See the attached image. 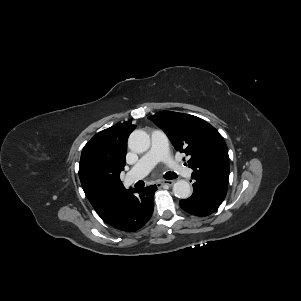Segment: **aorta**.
Wrapping results in <instances>:
<instances>
[{
    "label": "aorta",
    "instance_id": "aorta-1",
    "mask_svg": "<svg viewBox=\"0 0 301 301\" xmlns=\"http://www.w3.org/2000/svg\"><path fill=\"white\" fill-rule=\"evenodd\" d=\"M129 147L136 153H143L150 147V136L143 130H135L129 136ZM173 193L180 199L191 196V188L187 181L178 180L173 185Z\"/></svg>",
    "mask_w": 301,
    "mask_h": 301
}]
</instances>
